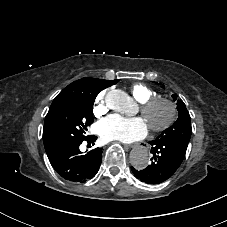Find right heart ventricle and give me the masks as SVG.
I'll use <instances>...</instances> for the list:
<instances>
[{
	"label": "right heart ventricle",
	"instance_id": "e07e8e85",
	"mask_svg": "<svg viewBox=\"0 0 227 227\" xmlns=\"http://www.w3.org/2000/svg\"><path fill=\"white\" fill-rule=\"evenodd\" d=\"M131 96L140 104L146 100L157 96V93L142 83H133L130 86Z\"/></svg>",
	"mask_w": 227,
	"mask_h": 227
}]
</instances>
